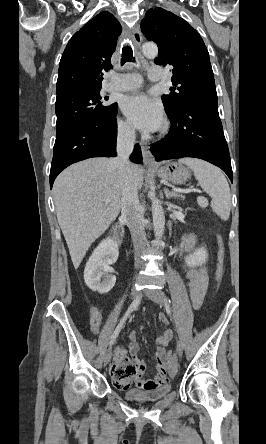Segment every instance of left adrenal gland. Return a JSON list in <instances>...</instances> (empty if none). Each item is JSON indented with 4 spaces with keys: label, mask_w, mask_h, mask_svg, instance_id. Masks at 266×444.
<instances>
[{
    "label": "left adrenal gland",
    "mask_w": 266,
    "mask_h": 444,
    "mask_svg": "<svg viewBox=\"0 0 266 444\" xmlns=\"http://www.w3.org/2000/svg\"><path fill=\"white\" fill-rule=\"evenodd\" d=\"M164 193H165V196H166L167 199H170V198H183L182 195H180L178 193H175V192H171L167 188H164Z\"/></svg>",
    "instance_id": "left-adrenal-gland-1"
}]
</instances>
